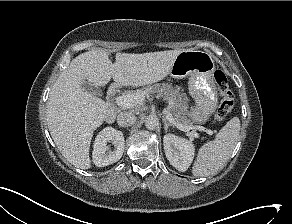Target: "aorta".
<instances>
[{"instance_id": "aorta-1", "label": "aorta", "mask_w": 292, "mask_h": 224, "mask_svg": "<svg viewBox=\"0 0 292 224\" xmlns=\"http://www.w3.org/2000/svg\"><path fill=\"white\" fill-rule=\"evenodd\" d=\"M159 120L156 116H148L145 121V126L149 130H154L158 127Z\"/></svg>"}]
</instances>
